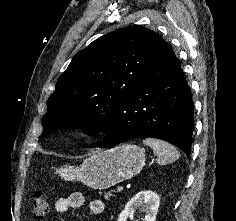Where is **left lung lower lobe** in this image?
I'll return each mask as SVG.
<instances>
[{
	"mask_svg": "<svg viewBox=\"0 0 236 221\" xmlns=\"http://www.w3.org/2000/svg\"><path fill=\"white\" fill-rule=\"evenodd\" d=\"M193 112L190 87L167 43L117 109L99 147L153 137L172 143L188 156L194 130Z\"/></svg>",
	"mask_w": 236,
	"mask_h": 221,
	"instance_id": "obj_1",
	"label": "left lung lower lobe"
}]
</instances>
